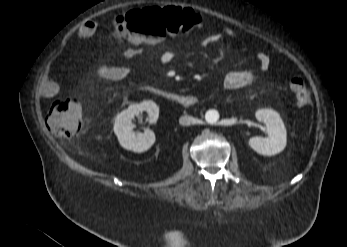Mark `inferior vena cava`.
<instances>
[{
  "label": "inferior vena cava",
  "mask_w": 347,
  "mask_h": 247,
  "mask_svg": "<svg viewBox=\"0 0 347 247\" xmlns=\"http://www.w3.org/2000/svg\"><path fill=\"white\" fill-rule=\"evenodd\" d=\"M179 122H180L181 125L189 126L191 124L197 123V119L194 118V117L185 115V116H182L180 118Z\"/></svg>",
  "instance_id": "602c4592"
}]
</instances>
